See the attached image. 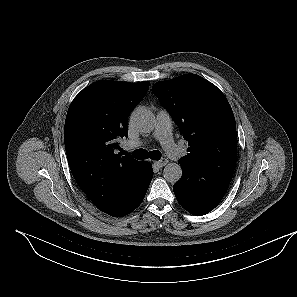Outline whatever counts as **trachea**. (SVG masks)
Returning <instances> with one entry per match:
<instances>
[{
	"label": "trachea",
	"instance_id": "trachea-1",
	"mask_svg": "<svg viewBox=\"0 0 297 297\" xmlns=\"http://www.w3.org/2000/svg\"><path fill=\"white\" fill-rule=\"evenodd\" d=\"M133 155L135 158L142 160V159H152V160H159L161 158V153L158 150H153L148 152L145 149H137L133 151Z\"/></svg>",
	"mask_w": 297,
	"mask_h": 297
}]
</instances>
